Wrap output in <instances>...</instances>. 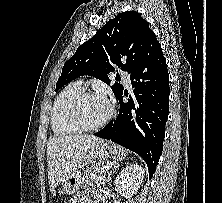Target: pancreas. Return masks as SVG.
I'll use <instances>...</instances> for the list:
<instances>
[{"instance_id":"obj_1","label":"pancreas","mask_w":222,"mask_h":203,"mask_svg":"<svg viewBox=\"0 0 222 203\" xmlns=\"http://www.w3.org/2000/svg\"><path fill=\"white\" fill-rule=\"evenodd\" d=\"M105 162L100 161L90 167L84 175L83 184L90 185L93 183H100L107 173L104 169Z\"/></svg>"}]
</instances>
